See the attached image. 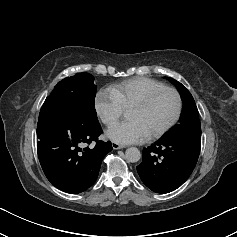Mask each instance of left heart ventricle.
I'll return each instance as SVG.
<instances>
[{
	"instance_id": "b2bd125f",
	"label": "left heart ventricle",
	"mask_w": 237,
	"mask_h": 237,
	"mask_svg": "<svg viewBox=\"0 0 237 237\" xmlns=\"http://www.w3.org/2000/svg\"><path fill=\"white\" fill-rule=\"evenodd\" d=\"M176 106L175 96L170 92H165L147 108L131 107L129 119L139 121L150 136L172 119Z\"/></svg>"
}]
</instances>
